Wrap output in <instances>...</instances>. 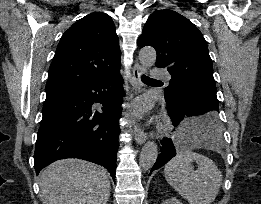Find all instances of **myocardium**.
<instances>
[{"label":"myocardium","instance_id":"myocardium-1","mask_svg":"<svg viewBox=\"0 0 261 204\" xmlns=\"http://www.w3.org/2000/svg\"><path fill=\"white\" fill-rule=\"evenodd\" d=\"M158 128H159V131H161V132H166V131H168L169 128H170V122H169V120H168L166 117H163V118L160 120V122H159Z\"/></svg>","mask_w":261,"mask_h":204}]
</instances>
